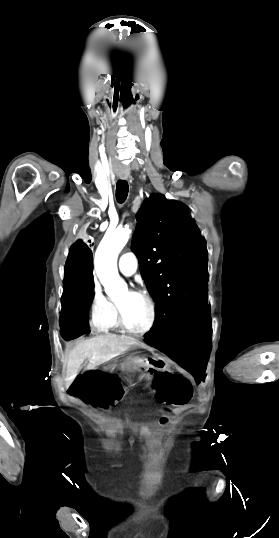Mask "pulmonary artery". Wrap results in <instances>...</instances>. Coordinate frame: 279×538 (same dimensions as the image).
<instances>
[{"instance_id": "1", "label": "pulmonary artery", "mask_w": 279, "mask_h": 538, "mask_svg": "<svg viewBox=\"0 0 279 538\" xmlns=\"http://www.w3.org/2000/svg\"><path fill=\"white\" fill-rule=\"evenodd\" d=\"M118 268L125 276H131L136 272V263L130 253H124L119 257Z\"/></svg>"}]
</instances>
